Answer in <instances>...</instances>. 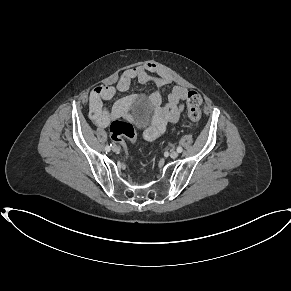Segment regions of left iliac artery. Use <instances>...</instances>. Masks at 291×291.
Here are the masks:
<instances>
[{
    "label": "left iliac artery",
    "mask_w": 291,
    "mask_h": 291,
    "mask_svg": "<svg viewBox=\"0 0 291 291\" xmlns=\"http://www.w3.org/2000/svg\"><path fill=\"white\" fill-rule=\"evenodd\" d=\"M182 151H183L182 147H178V148H177V152H178V153H181Z\"/></svg>",
    "instance_id": "obj_1"
}]
</instances>
